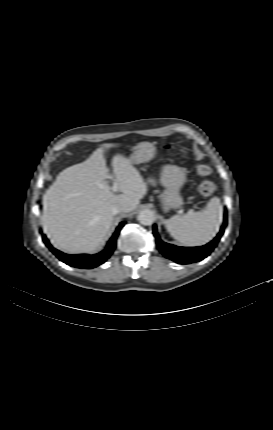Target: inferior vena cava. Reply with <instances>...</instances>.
Returning <instances> with one entry per match:
<instances>
[{
    "mask_svg": "<svg viewBox=\"0 0 273 430\" xmlns=\"http://www.w3.org/2000/svg\"><path fill=\"white\" fill-rule=\"evenodd\" d=\"M125 206L122 203H116L111 207V211L113 214H118L120 212H124Z\"/></svg>",
    "mask_w": 273,
    "mask_h": 430,
    "instance_id": "602c4592",
    "label": "inferior vena cava"
}]
</instances>
